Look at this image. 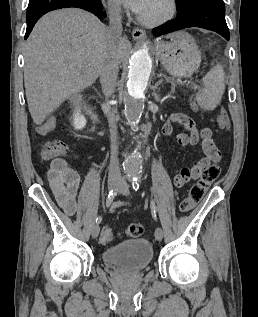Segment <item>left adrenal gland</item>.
I'll return each mask as SVG.
<instances>
[{
    "label": "left adrenal gland",
    "mask_w": 258,
    "mask_h": 317,
    "mask_svg": "<svg viewBox=\"0 0 258 317\" xmlns=\"http://www.w3.org/2000/svg\"><path fill=\"white\" fill-rule=\"evenodd\" d=\"M158 84H159V82H156L155 86H153V92H152V96H154V98H156V100H160L159 94H158V92H156V88H157Z\"/></svg>",
    "instance_id": "left-adrenal-gland-1"
}]
</instances>
